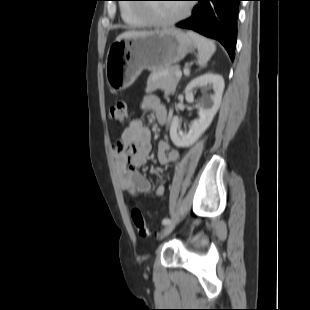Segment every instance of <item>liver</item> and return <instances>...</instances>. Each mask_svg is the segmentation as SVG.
<instances>
[{
	"instance_id": "1",
	"label": "liver",
	"mask_w": 310,
	"mask_h": 310,
	"mask_svg": "<svg viewBox=\"0 0 310 310\" xmlns=\"http://www.w3.org/2000/svg\"><path fill=\"white\" fill-rule=\"evenodd\" d=\"M152 33H154V32H151V31L150 32H148V31H125L116 38V41L121 40V39H126V38L145 36V35H149Z\"/></svg>"
}]
</instances>
